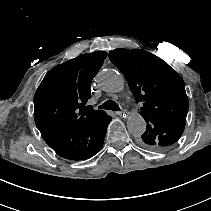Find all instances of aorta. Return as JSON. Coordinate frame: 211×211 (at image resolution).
<instances>
[{
    "mask_svg": "<svg viewBox=\"0 0 211 211\" xmlns=\"http://www.w3.org/2000/svg\"><path fill=\"white\" fill-rule=\"evenodd\" d=\"M96 80L105 92H120L124 87L123 76L113 69H105L99 72ZM127 128L134 136H139L146 130V122L139 113L135 112L128 116Z\"/></svg>",
    "mask_w": 211,
    "mask_h": 211,
    "instance_id": "obj_1",
    "label": "aorta"
}]
</instances>
